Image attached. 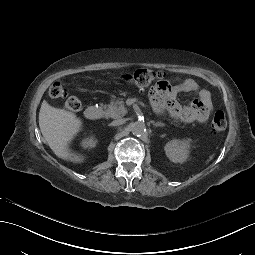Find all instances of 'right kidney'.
Wrapping results in <instances>:
<instances>
[{
	"mask_svg": "<svg viewBox=\"0 0 255 255\" xmlns=\"http://www.w3.org/2000/svg\"><path fill=\"white\" fill-rule=\"evenodd\" d=\"M97 144V140L95 139V137L91 136L88 138H85L81 141V146L84 149H91L94 148Z\"/></svg>",
	"mask_w": 255,
	"mask_h": 255,
	"instance_id": "obj_1",
	"label": "right kidney"
}]
</instances>
